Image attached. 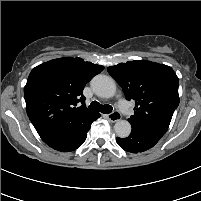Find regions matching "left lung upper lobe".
I'll list each match as a JSON object with an SVG mask.
<instances>
[{
    "label": "left lung upper lobe",
    "instance_id": "obj_1",
    "mask_svg": "<svg viewBox=\"0 0 201 201\" xmlns=\"http://www.w3.org/2000/svg\"><path fill=\"white\" fill-rule=\"evenodd\" d=\"M107 70L126 98L136 102L134 115L128 119L130 124L167 131L179 104V79L173 69L140 60L110 66Z\"/></svg>",
    "mask_w": 201,
    "mask_h": 201
}]
</instances>
